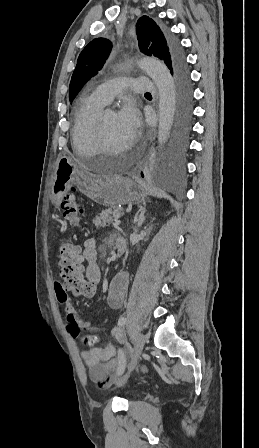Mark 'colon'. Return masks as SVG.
Instances as JSON below:
<instances>
[{"label":"colon","mask_w":259,"mask_h":448,"mask_svg":"<svg viewBox=\"0 0 259 448\" xmlns=\"http://www.w3.org/2000/svg\"><path fill=\"white\" fill-rule=\"evenodd\" d=\"M63 216L71 225L78 226L83 210L79 206L74 191L66 195L62 203ZM59 272L65 290L81 296H91L94 288L86 278L83 256L80 249L68 239L59 243ZM98 340L97 332H89L83 337L85 346H92Z\"/></svg>","instance_id":"1"}]
</instances>
